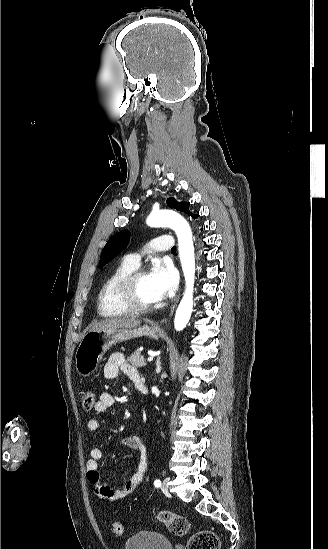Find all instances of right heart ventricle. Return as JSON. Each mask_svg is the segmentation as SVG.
<instances>
[{
	"label": "right heart ventricle",
	"instance_id": "1",
	"mask_svg": "<svg viewBox=\"0 0 328 549\" xmlns=\"http://www.w3.org/2000/svg\"><path fill=\"white\" fill-rule=\"evenodd\" d=\"M138 264L139 261H134L132 255L123 256L102 284L97 295V313L104 323L105 319H131L129 315L113 310L112 306L117 305V302L112 296V291L117 281L126 273L134 270Z\"/></svg>",
	"mask_w": 328,
	"mask_h": 549
}]
</instances>
